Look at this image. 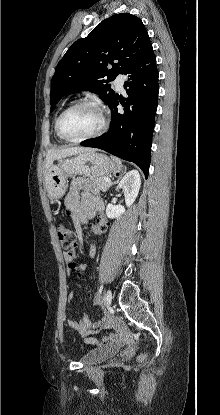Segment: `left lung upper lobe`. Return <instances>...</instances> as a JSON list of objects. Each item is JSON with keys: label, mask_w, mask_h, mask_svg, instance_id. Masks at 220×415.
Wrapping results in <instances>:
<instances>
[{"label": "left lung upper lobe", "mask_w": 220, "mask_h": 415, "mask_svg": "<svg viewBox=\"0 0 220 415\" xmlns=\"http://www.w3.org/2000/svg\"><path fill=\"white\" fill-rule=\"evenodd\" d=\"M153 55L140 18L120 13L103 20L87 37L74 42L59 61L51 84V110L63 96L82 90L98 94L109 104L115 92L107 83Z\"/></svg>", "instance_id": "obj_1"}]
</instances>
